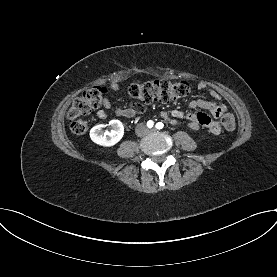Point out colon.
<instances>
[{
    "label": "colon",
    "instance_id": "1",
    "mask_svg": "<svg viewBox=\"0 0 277 277\" xmlns=\"http://www.w3.org/2000/svg\"><path fill=\"white\" fill-rule=\"evenodd\" d=\"M190 91L185 81L149 80L141 83H132L127 87L128 94L144 102L159 101L168 103L186 96ZM107 90L103 86L87 89L76 98L68 111L71 120L70 128L73 133L81 135L87 132L88 122L81 117L103 104ZM224 128L228 131L235 129V118L231 113L225 112L221 117Z\"/></svg>",
    "mask_w": 277,
    "mask_h": 277
}]
</instances>
